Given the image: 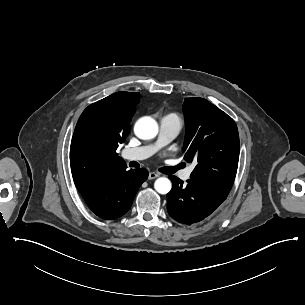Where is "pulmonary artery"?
<instances>
[{
  "label": "pulmonary artery",
  "instance_id": "e3ab8cb5",
  "mask_svg": "<svg viewBox=\"0 0 305 305\" xmlns=\"http://www.w3.org/2000/svg\"><path fill=\"white\" fill-rule=\"evenodd\" d=\"M181 121L174 115H167L161 118L158 139L154 144L136 148H129L124 151L123 157L126 160L140 161L152 156L162 146L171 142L180 132ZM194 166L189 167L180 175L182 180H189Z\"/></svg>",
  "mask_w": 305,
  "mask_h": 305
}]
</instances>
